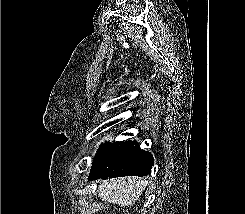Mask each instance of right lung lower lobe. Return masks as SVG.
<instances>
[{
  "label": "right lung lower lobe",
  "instance_id": "98d812e1",
  "mask_svg": "<svg viewBox=\"0 0 245 214\" xmlns=\"http://www.w3.org/2000/svg\"><path fill=\"white\" fill-rule=\"evenodd\" d=\"M118 167L107 173L89 176V180L114 178L121 176H146L151 173L154 164L152 154L139 148L138 142L126 141L118 146Z\"/></svg>",
  "mask_w": 245,
  "mask_h": 214
}]
</instances>
